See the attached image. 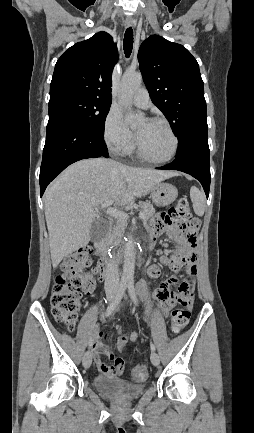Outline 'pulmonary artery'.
<instances>
[{
    "mask_svg": "<svg viewBox=\"0 0 254 433\" xmlns=\"http://www.w3.org/2000/svg\"><path fill=\"white\" fill-rule=\"evenodd\" d=\"M133 103L135 106L147 109L151 105L149 93L145 88L138 89L133 95Z\"/></svg>",
    "mask_w": 254,
    "mask_h": 433,
    "instance_id": "1",
    "label": "pulmonary artery"
}]
</instances>
